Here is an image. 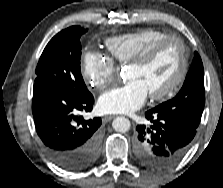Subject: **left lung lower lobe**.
Returning <instances> with one entry per match:
<instances>
[{"mask_svg":"<svg viewBox=\"0 0 223 188\" xmlns=\"http://www.w3.org/2000/svg\"><path fill=\"white\" fill-rule=\"evenodd\" d=\"M145 116L152 122L150 128L136 127L135 153L144 164L164 168L178 162L188 151L196 129L168 119L162 114L147 111Z\"/></svg>","mask_w":223,"mask_h":188,"instance_id":"left-lung-lower-lobe-1","label":"left lung lower lobe"}]
</instances>
